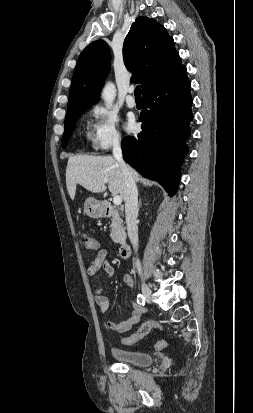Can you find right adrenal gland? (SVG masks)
I'll return each mask as SVG.
<instances>
[{"label":"right adrenal gland","mask_w":253,"mask_h":413,"mask_svg":"<svg viewBox=\"0 0 253 413\" xmlns=\"http://www.w3.org/2000/svg\"><path fill=\"white\" fill-rule=\"evenodd\" d=\"M139 206H141V199H140V201H139Z\"/></svg>","instance_id":"1"}]
</instances>
